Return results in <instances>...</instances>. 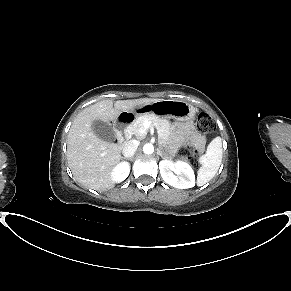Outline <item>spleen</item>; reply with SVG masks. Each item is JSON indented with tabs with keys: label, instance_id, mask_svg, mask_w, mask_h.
Here are the masks:
<instances>
[{
	"label": "spleen",
	"instance_id": "obj_1",
	"mask_svg": "<svg viewBox=\"0 0 291 291\" xmlns=\"http://www.w3.org/2000/svg\"><path fill=\"white\" fill-rule=\"evenodd\" d=\"M222 162V140L214 138L208 145L206 154L200 157L202 166L198 170L197 185L203 186L217 173Z\"/></svg>",
	"mask_w": 291,
	"mask_h": 291
}]
</instances>
